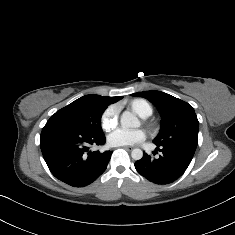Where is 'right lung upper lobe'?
I'll list each match as a JSON object with an SVG mask.
<instances>
[{"mask_svg": "<svg viewBox=\"0 0 235 235\" xmlns=\"http://www.w3.org/2000/svg\"><path fill=\"white\" fill-rule=\"evenodd\" d=\"M122 96L117 97H107V96H100V95H86L78 100L84 103L89 109L93 111H102L107 108V106L111 103H115L120 100Z\"/></svg>", "mask_w": 235, "mask_h": 235, "instance_id": "cb5924a9", "label": "right lung upper lobe"}]
</instances>
